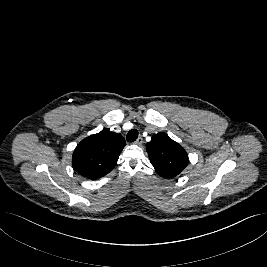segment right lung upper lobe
<instances>
[{"instance_id": "1", "label": "right lung upper lobe", "mask_w": 267, "mask_h": 267, "mask_svg": "<svg viewBox=\"0 0 267 267\" xmlns=\"http://www.w3.org/2000/svg\"><path fill=\"white\" fill-rule=\"evenodd\" d=\"M125 145L120 134L102 130L77 145L72 156L73 167L84 177L99 179L115 167Z\"/></svg>"}]
</instances>
